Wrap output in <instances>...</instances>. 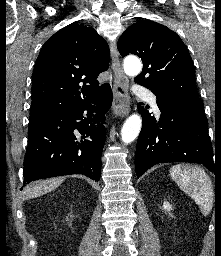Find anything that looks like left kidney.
<instances>
[{"mask_svg":"<svg viewBox=\"0 0 221 256\" xmlns=\"http://www.w3.org/2000/svg\"><path fill=\"white\" fill-rule=\"evenodd\" d=\"M163 209L170 213V211L172 210V206L169 204V202H164Z\"/></svg>","mask_w":221,"mask_h":256,"instance_id":"left-kidney-1","label":"left kidney"}]
</instances>
